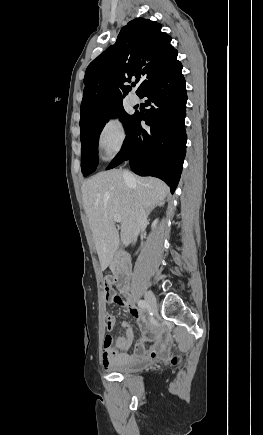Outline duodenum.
I'll return each instance as SVG.
<instances>
[{
  "label": "duodenum",
  "mask_w": 263,
  "mask_h": 435,
  "mask_svg": "<svg viewBox=\"0 0 263 435\" xmlns=\"http://www.w3.org/2000/svg\"><path fill=\"white\" fill-rule=\"evenodd\" d=\"M115 272L117 285L124 292H129V261L128 255L124 252H117L115 255Z\"/></svg>",
  "instance_id": "1"
}]
</instances>
